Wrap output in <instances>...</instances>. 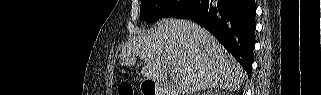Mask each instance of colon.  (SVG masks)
<instances>
[{
    "label": "colon",
    "mask_w": 321,
    "mask_h": 95,
    "mask_svg": "<svg viewBox=\"0 0 321 95\" xmlns=\"http://www.w3.org/2000/svg\"><path fill=\"white\" fill-rule=\"evenodd\" d=\"M118 93L119 95H133V88L132 86L127 82H122L118 87Z\"/></svg>",
    "instance_id": "colon-1"
}]
</instances>
